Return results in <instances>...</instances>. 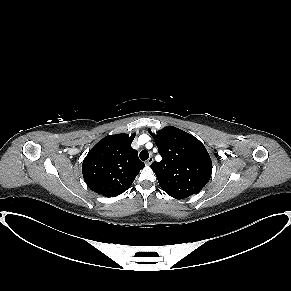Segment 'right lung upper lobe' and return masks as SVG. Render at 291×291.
Here are the masks:
<instances>
[{
  "mask_svg": "<svg viewBox=\"0 0 291 291\" xmlns=\"http://www.w3.org/2000/svg\"><path fill=\"white\" fill-rule=\"evenodd\" d=\"M135 133L116 134L101 139L87 154L82 173L87 186L105 197L125 192L133 183L144 163L131 147Z\"/></svg>",
  "mask_w": 291,
  "mask_h": 291,
  "instance_id": "cb5924a9",
  "label": "right lung upper lobe"
}]
</instances>
